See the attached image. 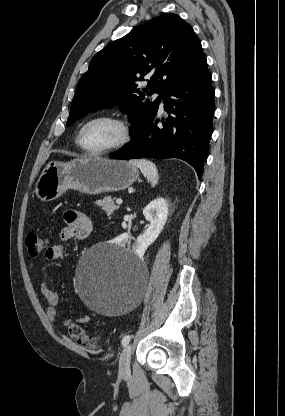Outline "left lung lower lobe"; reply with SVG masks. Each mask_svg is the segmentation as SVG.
Masks as SVG:
<instances>
[{"label":"left lung lower lobe","instance_id":"left-lung-lower-lobe-1","mask_svg":"<svg viewBox=\"0 0 285 416\" xmlns=\"http://www.w3.org/2000/svg\"><path fill=\"white\" fill-rule=\"evenodd\" d=\"M164 103V110L172 116L161 120L163 128L156 126L158 119L154 117L110 158H179L189 163L201 179L215 110L205 56L166 92Z\"/></svg>","mask_w":285,"mask_h":416}]
</instances>
